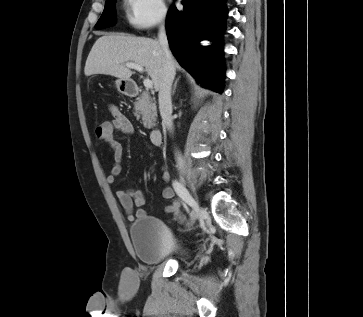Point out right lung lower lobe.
I'll list each match as a JSON object with an SVG mask.
<instances>
[{"label":"right lung lower lobe","instance_id":"1","mask_svg":"<svg viewBox=\"0 0 363 317\" xmlns=\"http://www.w3.org/2000/svg\"><path fill=\"white\" fill-rule=\"evenodd\" d=\"M225 0H183V11L172 7L167 15L170 48L181 64L197 81L218 93L222 92L223 53L218 39L225 30ZM213 41L201 46L199 41Z\"/></svg>","mask_w":363,"mask_h":317}]
</instances>
